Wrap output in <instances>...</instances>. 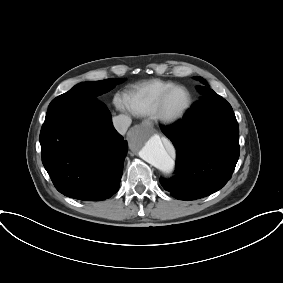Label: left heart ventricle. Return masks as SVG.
I'll return each instance as SVG.
<instances>
[{"instance_id":"b2bd125f","label":"left heart ventricle","mask_w":283,"mask_h":283,"mask_svg":"<svg viewBox=\"0 0 283 283\" xmlns=\"http://www.w3.org/2000/svg\"><path fill=\"white\" fill-rule=\"evenodd\" d=\"M186 102V94L184 91H175L166 101V109L169 111H177L183 107Z\"/></svg>"}]
</instances>
